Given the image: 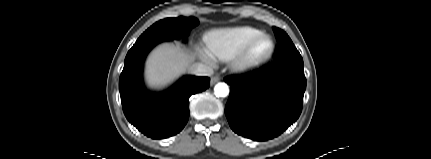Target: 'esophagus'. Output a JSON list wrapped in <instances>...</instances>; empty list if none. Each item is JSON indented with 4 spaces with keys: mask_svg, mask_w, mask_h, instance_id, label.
Returning <instances> with one entry per match:
<instances>
[{
    "mask_svg": "<svg viewBox=\"0 0 431 159\" xmlns=\"http://www.w3.org/2000/svg\"><path fill=\"white\" fill-rule=\"evenodd\" d=\"M220 80L219 76H213L210 80V84L214 85L215 83H217Z\"/></svg>",
    "mask_w": 431,
    "mask_h": 159,
    "instance_id": "1",
    "label": "esophagus"
}]
</instances>
